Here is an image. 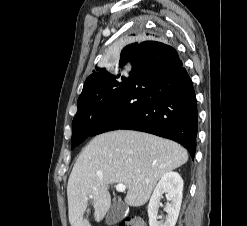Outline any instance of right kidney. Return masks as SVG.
I'll use <instances>...</instances> for the list:
<instances>
[{
	"label": "right kidney",
	"instance_id": "obj_1",
	"mask_svg": "<svg viewBox=\"0 0 247 226\" xmlns=\"http://www.w3.org/2000/svg\"><path fill=\"white\" fill-rule=\"evenodd\" d=\"M183 180L179 173L164 174L156 185L148 205L149 226H175L182 203ZM163 193H167L170 201L165 206L167 213L162 221H158V210Z\"/></svg>",
	"mask_w": 247,
	"mask_h": 226
}]
</instances>
